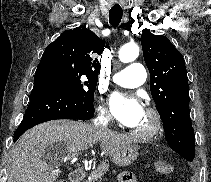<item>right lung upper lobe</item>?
I'll return each mask as SVG.
<instances>
[{
  "label": "right lung upper lobe",
  "instance_id": "cb5924a9",
  "mask_svg": "<svg viewBox=\"0 0 211 182\" xmlns=\"http://www.w3.org/2000/svg\"><path fill=\"white\" fill-rule=\"evenodd\" d=\"M104 46L105 43L91 30L80 27L66 30L47 46L40 63L49 66L56 62L73 67L88 76L98 77L100 62L94 55H100Z\"/></svg>",
  "mask_w": 211,
  "mask_h": 182
}]
</instances>
